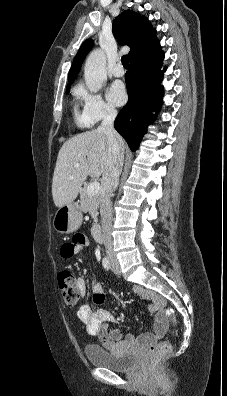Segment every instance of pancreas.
<instances>
[{"mask_svg": "<svg viewBox=\"0 0 227 396\" xmlns=\"http://www.w3.org/2000/svg\"><path fill=\"white\" fill-rule=\"evenodd\" d=\"M101 194H88L87 186L84 187L80 192L81 199V211L86 213L89 212L95 223L98 221V208L100 204Z\"/></svg>", "mask_w": 227, "mask_h": 396, "instance_id": "1", "label": "pancreas"}]
</instances>
